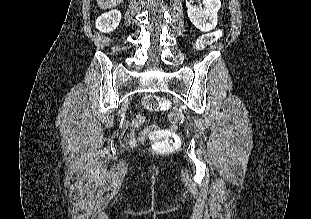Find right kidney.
I'll use <instances>...</instances> for the list:
<instances>
[{
  "label": "right kidney",
  "instance_id": "1",
  "mask_svg": "<svg viewBox=\"0 0 311 219\" xmlns=\"http://www.w3.org/2000/svg\"><path fill=\"white\" fill-rule=\"evenodd\" d=\"M121 21V12L118 10H112L108 13L101 15L96 20V28L104 33L112 32L118 27Z\"/></svg>",
  "mask_w": 311,
  "mask_h": 219
}]
</instances>
